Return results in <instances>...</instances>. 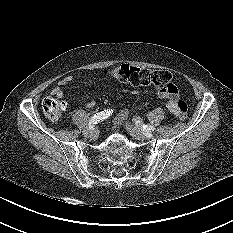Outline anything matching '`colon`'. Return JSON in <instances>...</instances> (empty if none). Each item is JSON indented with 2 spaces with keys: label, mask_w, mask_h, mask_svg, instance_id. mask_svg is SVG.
Listing matches in <instances>:
<instances>
[{
  "label": "colon",
  "mask_w": 233,
  "mask_h": 233,
  "mask_svg": "<svg viewBox=\"0 0 233 233\" xmlns=\"http://www.w3.org/2000/svg\"><path fill=\"white\" fill-rule=\"evenodd\" d=\"M108 76L120 82L129 83L134 86H152L157 90L175 92L176 87L172 83L171 74L165 70H145L138 67L123 64L112 68L107 72ZM178 117L186 118V104L179 100ZM66 109V103L54 97H47L42 101L44 115L52 122L61 119Z\"/></svg>",
  "instance_id": "colon-1"
}]
</instances>
